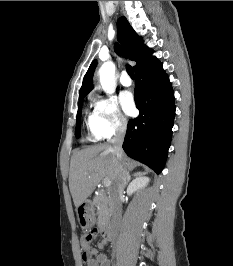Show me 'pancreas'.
I'll return each instance as SVG.
<instances>
[{
  "instance_id": "obj_1",
  "label": "pancreas",
  "mask_w": 233,
  "mask_h": 266,
  "mask_svg": "<svg viewBox=\"0 0 233 266\" xmlns=\"http://www.w3.org/2000/svg\"><path fill=\"white\" fill-rule=\"evenodd\" d=\"M94 204L98 209V222L102 223L111 211V199L109 195L101 191L98 196L94 197Z\"/></svg>"
}]
</instances>
